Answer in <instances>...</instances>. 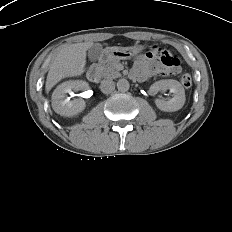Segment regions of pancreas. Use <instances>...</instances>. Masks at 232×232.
<instances>
[{
  "label": "pancreas",
  "mask_w": 232,
  "mask_h": 232,
  "mask_svg": "<svg viewBox=\"0 0 232 232\" xmlns=\"http://www.w3.org/2000/svg\"><path fill=\"white\" fill-rule=\"evenodd\" d=\"M119 61H110L107 64H99V71L101 76L108 79H115L121 76L117 65Z\"/></svg>",
  "instance_id": "pancreas-1"
}]
</instances>
